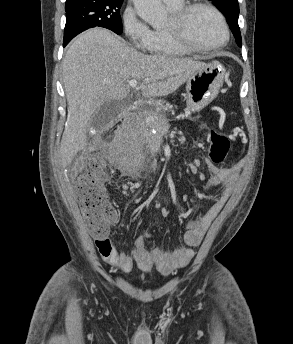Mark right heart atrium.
Here are the masks:
<instances>
[{"mask_svg":"<svg viewBox=\"0 0 293 344\" xmlns=\"http://www.w3.org/2000/svg\"><path fill=\"white\" fill-rule=\"evenodd\" d=\"M122 30L131 46L137 51H147L154 31L142 20L136 10L127 6L121 16Z\"/></svg>","mask_w":293,"mask_h":344,"instance_id":"1","label":"right heart atrium"}]
</instances>
